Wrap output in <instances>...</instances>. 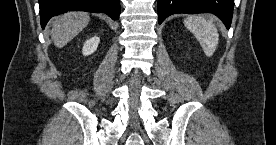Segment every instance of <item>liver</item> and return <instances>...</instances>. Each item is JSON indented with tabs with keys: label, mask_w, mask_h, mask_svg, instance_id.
Returning <instances> with one entry per match:
<instances>
[{
	"label": "liver",
	"mask_w": 276,
	"mask_h": 145,
	"mask_svg": "<svg viewBox=\"0 0 276 145\" xmlns=\"http://www.w3.org/2000/svg\"><path fill=\"white\" fill-rule=\"evenodd\" d=\"M90 17L86 12H69L53 21L51 38L58 48L64 47L75 38L89 23Z\"/></svg>",
	"instance_id": "6515ba94"
}]
</instances>
